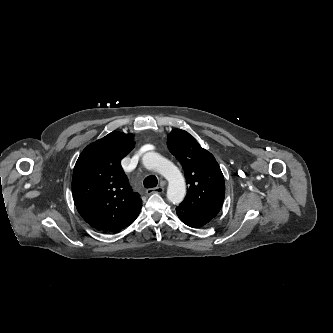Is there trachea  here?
<instances>
[{
	"instance_id": "1",
	"label": "trachea",
	"mask_w": 333,
	"mask_h": 333,
	"mask_svg": "<svg viewBox=\"0 0 333 333\" xmlns=\"http://www.w3.org/2000/svg\"><path fill=\"white\" fill-rule=\"evenodd\" d=\"M143 183L146 188H153L157 186L158 180L155 176L152 175L146 177Z\"/></svg>"
}]
</instances>
